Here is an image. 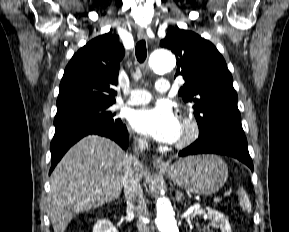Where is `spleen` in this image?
<instances>
[{"label": "spleen", "mask_w": 289, "mask_h": 232, "mask_svg": "<svg viewBox=\"0 0 289 232\" xmlns=\"http://www.w3.org/2000/svg\"><path fill=\"white\" fill-rule=\"evenodd\" d=\"M238 195H239L240 206L242 207V209L244 211L250 213L251 212V202H250L245 190L243 188H240L238 190Z\"/></svg>", "instance_id": "1"}]
</instances>
